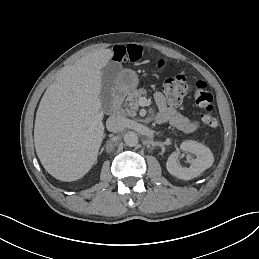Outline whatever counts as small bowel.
I'll list each match as a JSON object with an SVG mask.
<instances>
[{"label": "small bowel", "instance_id": "c3829d8e", "mask_svg": "<svg viewBox=\"0 0 259 259\" xmlns=\"http://www.w3.org/2000/svg\"><path fill=\"white\" fill-rule=\"evenodd\" d=\"M143 53L144 48L139 44L116 45L112 49V59L117 63L136 62L142 57ZM154 98L159 110L156 118L158 122L169 123L186 133L197 129L199 123L178 112L167 102L163 93L156 92Z\"/></svg>", "mask_w": 259, "mask_h": 259}]
</instances>
